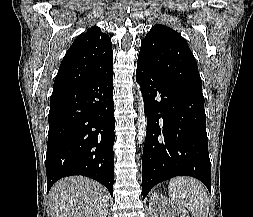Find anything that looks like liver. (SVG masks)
I'll return each instance as SVG.
<instances>
[{
	"label": "liver",
	"instance_id": "6515ba94",
	"mask_svg": "<svg viewBox=\"0 0 253 217\" xmlns=\"http://www.w3.org/2000/svg\"><path fill=\"white\" fill-rule=\"evenodd\" d=\"M52 217H106L107 190L98 182L83 176L66 177L49 192Z\"/></svg>",
	"mask_w": 253,
	"mask_h": 217
}]
</instances>
